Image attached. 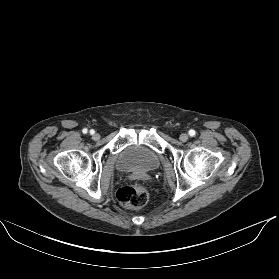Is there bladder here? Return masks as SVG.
<instances>
[{
    "mask_svg": "<svg viewBox=\"0 0 279 279\" xmlns=\"http://www.w3.org/2000/svg\"><path fill=\"white\" fill-rule=\"evenodd\" d=\"M158 154L142 144H131L123 148L116 157L117 168L126 174L144 177L158 169Z\"/></svg>",
    "mask_w": 279,
    "mask_h": 279,
    "instance_id": "bladder-1",
    "label": "bladder"
}]
</instances>
